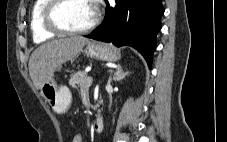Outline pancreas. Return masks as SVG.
<instances>
[{
	"mask_svg": "<svg viewBox=\"0 0 227 142\" xmlns=\"http://www.w3.org/2000/svg\"><path fill=\"white\" fill-rule=\"evenodd\" d=\"M88 76L83 71H78L69 80L70 86L73 88H83L86 85Z\"/></svg>",
	"mask_w": 227,
	"mask_h": 142,
	"instance_id": "cf45deb5",
	"label": "pancreas"
}]
</instances>
